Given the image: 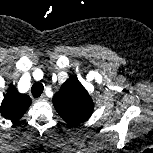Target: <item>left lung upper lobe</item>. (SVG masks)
Here are the masks:
<instances>
[{"label":"left lung upper lobe","instance_id":"1","mask_svg":"<svg viewBox=\"0 0 153 153\" xmlns=\"http://www.w3.org/2000/svg\"><path fill=\"white\" fill-rule=\"evenodd\" d=\"M52 101L59 115L72 127L88 120L94 110L92 98L74 76L61 86Z\"/></svg>","mask_w":153,"mask_h":153}]
</instances>
